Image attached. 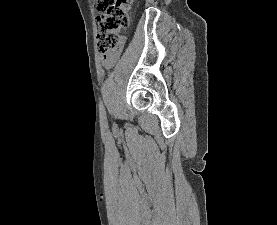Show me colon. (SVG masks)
Segmentation results:
<instances>
[{"label":"colon","instance_id":"5ec220e1","mask_svg":"<svg viewBox=\"0 0 277 225\" xmlns=\"http://www.w3.org/2000/svg\"><path fill=\"white\" fill-rule=\"evenodd\" d=\"M134 0H95L99 12L96 18L97 49L103 55L118 53L124 39L121 31L130 23V11Z\"/></svg>","mask_w":277,"mask_h":225}]
</instances>
